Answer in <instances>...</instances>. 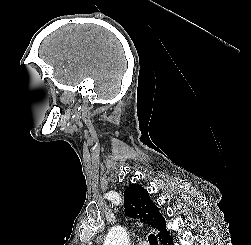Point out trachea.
Instances as JSON below:
<instances>
[{"label":"trachea","mask_w":251,"mask_h":245,"mask_svg":"<svg viewBox=\"0 0 251 245\" xmlns=\"http://www.w3.org/2000/svg\"><path fill=\"white\" fill-rule=\"evenodd\" d=\"M148 241H149L150 245H158L157 238L154 234H150L148 236Z\"/></svg>","instance_id":"obj_1"}]
</instances>
